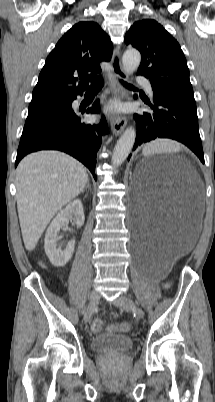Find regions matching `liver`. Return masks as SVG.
<instances>
[{
  "label": "liver",
  "mask_w": 215,
  "mask_h": 402,
  "mask_svg": "<svg viewBox=\"0 0 215 402\" xmlns=\"http://www.w3.org/2000/svg\"><path fill=\"white\" fill-rule=\"evenodd\" d=\"M88 182L83 165L59 151L24 157L16 170L17 209L25 248L32 251L53 216Z\"/></svg>",
  "instance_id": "liver-1"
}]
</instances>
